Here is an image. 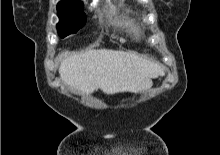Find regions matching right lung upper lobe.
<instances>
[{
  "label": "right lung upper lobe",
  "mask_w": 220,
  "mask_h": 155,
  "mask_svg": "<svg viewBox=\"0 0 220 155\" xmlns=\"http://www.w3.org/2000/svg\"><path fill=\"white\" fill-rule=\"evenodd\" d=\"M61 3H82L80 0H61Z\"/></svg>",
  "instance_id": "1"
}]
</instances>
